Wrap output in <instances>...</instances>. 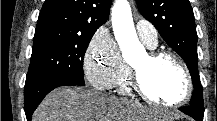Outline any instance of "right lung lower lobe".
<instances>
[{"label":"right lung lower lobe","instance_id":"98d812e1","mask_svg":"<svg viewBox=\"0 0 217 121\" xmlns=\"http://www.w3.org/2000/svg\"><path fill=\"white\" fill-rule=\"evenodd\" d=\"M83 85L75 79L65 75H49L31 82L24 87V110L27 121L31 120L32 114L41 103L43 98L53 89L59 86Z\"/></svg>","mask_w":217,"mask_h":121}]
</instances>
